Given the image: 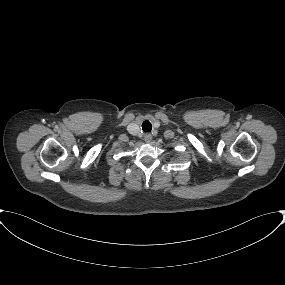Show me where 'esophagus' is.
<instances>
[{"label":"esophagus","mask_w":285,"mask_h":285,"mask_svg":"<svg viewBox=\"0 0 285 285\" xmlns=\"http://www.w3.org/2000/svg\"><path fill=\"white\" fill-rule=\"evenodd\" d=\"M144 140H145V142H147V143L151 142V140H152L151 134H146V135L144 136Z\"/></svg>","instance_id":"1"}]
</instances>
